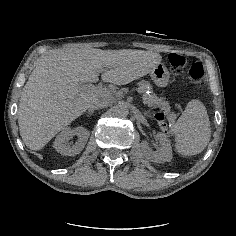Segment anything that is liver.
Returning <instances> with one entry per match:
<instances>
[{"label": "liver", "instance_id": "6515ba94", "mask_svg": "<svg viewBox=\"0 0 236 236\" xmlns=\"http://www.w3.org/2000/svg\"><path fill=\"white\" fill-rule=\"evenodd\" d=\"M149 52L69 48L37 59L22 90L18 109L20 135L31 150L42 149L58 132L103 97L81 90L80 83L128 84L148 73L140 65Z\"/></svg>", "mask_w": 236, "mask_h": 236}]
</instances>
